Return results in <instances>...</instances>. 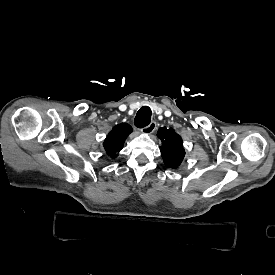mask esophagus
Returning a JSON list of instances; mask_svg holds the SVG:
<instances>
[{"label":"esophagus","mask_w":275,"mask_h":275,"mask_svg":"<svg viewBox=\"0 0 275 275\" xmlns=\"http://www.w3.org/2000/svg\"><path fill=\"white\" fill-rule=\"evenodd\" d=\"M156 127H157L156 122L152 121L147 127H145L143 129V132L147 133V134H151V133H153L155 131Z\"/></svg>","instance_id":"obj_1"}]
</instances>
